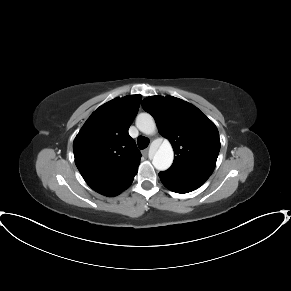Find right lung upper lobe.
Returning <instances> with one entry per match:
<instances>
[{
    "mask_svg": "<svg viewBox=\"0 0 291 291\" xmlns=\"http://www.w3.org/2000/svg\"><path fill=\"white\" fill-rule=\"evenodd\" d=\"M141 95L115 98L96 109L73 142L75 164L86 183L105 196H116L133 182L141 159L128 129Z\"/></svg>",
    "mask_w": 291,
    "mask_h": 291,
    "instance_id": "1",
    "label": "right lung upper lobe"
}]
</instances>
